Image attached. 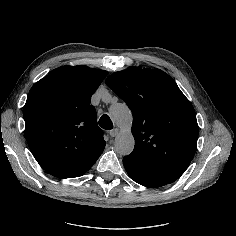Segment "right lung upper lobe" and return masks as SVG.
<instances>
[{
  "instance_id": "1",
  "label": "right lung upper lobe",
  "mask_w": 236,
  "mask_h": 236,
  "mask_svg": "<svg viewBox=\"0 0 236 236\" xmlns=\"http://www.w3.org/2000/svg\"><path fill=\"white\" fill-rule=\"evenodd\" d=\"M107 71L62 66L29 91L23 109L25 135L39 165L66 179L82 176L104 150L103 131L90 105Z\"/></svg>"
}]
</instances>
